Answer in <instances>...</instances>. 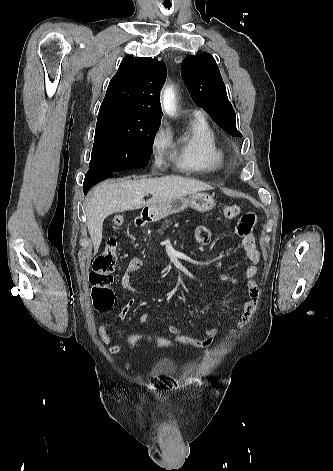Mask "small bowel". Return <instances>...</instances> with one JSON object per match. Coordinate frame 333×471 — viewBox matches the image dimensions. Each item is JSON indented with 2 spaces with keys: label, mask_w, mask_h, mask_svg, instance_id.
Instances as JSON below:
<instances>
[{
  "label": "small bowel",
  "mask_w": 333,
  "mask_h": 471,
  "mask_svg": "<svg viewBox=\"0 0 333 471\" xmlns=\"http://www.w3.org/2000/svg\"><path fill=\"white\" fill-rule=\"evenodd\" d=\"M255 224V215L253 213H246L241 216L237 225L236 232L242 239V246L245 251L246 257L250 264L246 268V291L247 298L243 301L241 320L238 323V327H242L247 324L257 309V305L260 299L261 291L257 283L254 280L258 272L257 264L260 260V253L257 250L255 244V238L253 235V227ZM211 234L207 227L199 226L195 231V241L199 245H207L210 242ZM143 262L138 257H132L124 270L121 277V286L137 295V290L134 287V276L136 272L142 267ZM217 280L221 282L230 283L236 285L238 280L228 274H218ZM136 302V297L131 298L119 312V318L124 320L129 315V312ZM142 324H149L151 317L148 313H142L139 318ZM111 322H104L99 327V334L102 341L109 345L108 352L112 355L118 354L122 350V345L115 341L114 338L109 334ZM168 333L173 336L172 340L177 344L189 345L196 348H207L209 347L218 333L216 327H209L205 330V336L203 338H197L188 334L182 333L181 329L177 326H169L167 329ZM235 330L231 331L233 334Z\"/></svg>",
  "instance_id": "small-bowel-1"
}]
</instances>
